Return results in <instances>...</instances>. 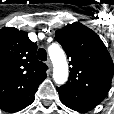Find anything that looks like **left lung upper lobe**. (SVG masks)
<instances>
[{
  "mask_svg": "<svg viewBox=\"0 0 114 114\" xmlns=\"http://www.w3.org/2000/svg\"><path fill=\"white\" fill-rule=\"evenodd\" d=\"M55 39L71 59L69 79L62 87L104 99L111 87L114 65L100 37L75 22L57 30Z\"/></svg>",
  "mask_w": 114,
  "mask_h": 114,
  "instance_id": "5c2ea615",
  "label": "left lung upper lobe"
}]
</instances>
